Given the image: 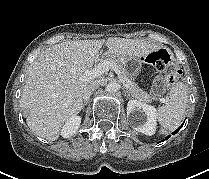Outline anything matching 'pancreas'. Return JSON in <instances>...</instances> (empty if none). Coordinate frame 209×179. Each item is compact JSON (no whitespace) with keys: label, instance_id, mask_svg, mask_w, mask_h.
Masks as SVG:
<instances>
[{"label":"pancreas","instance_id":"pancreas-1","mask_svg":"<svg viewBox=\"0 0 209 179\" xmlns=\"http://www.w3.org/2000/svg\"><path fill=\"white\" fill-rule=\"evenodd\" d=\"M106 60H109L113 63L116 64V67L119 69L120 73H121V76L123 77V79L128 83L129 85V89H128V92L129 94L139 100V101H142L144 103H150L152 102V98L151 96L146 92V91H143L141 88H139V86L133 82L132 80H130L126 75H125V72H124V69L122 67V64L121 62L116 59V58H113L111 56H108Z\"/></svg>","mask_w":209,"mask_h":179}]
</instances>
